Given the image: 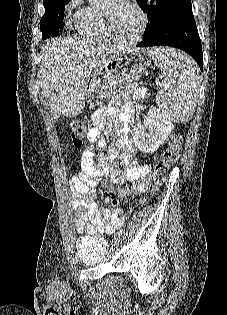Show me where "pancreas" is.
Listing matches in <instances>:
<instances>
[{"label":"pancreas","mask_w":227,"mask_h":315,"mask_svg":"<svg viewBox=\"0 0 227 315\" xmlns=\"http://www.w3.org/2000/svg\"><path fill=\"white\" fill-rule=\"evenodd\" d=\"M143 72L144 69L141 66H134L130 71H128V69H124L117 75L106 76L103 85L101 86V90L97 92V98L111 97L122 89V85L138 80L140 78V74Z\"/></svg>","instance_id":"pancreas-1"}]
</instances>
